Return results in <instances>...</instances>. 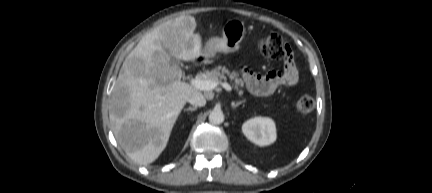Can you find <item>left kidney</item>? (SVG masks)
Here are the masks:
<instances>
[{"label": "left kidney", "mask_w": 432, "mask_h": 193, "mask_svg": "<svg viewBox=\"0 0 432 193\" xmlns=\"http://www.w3.org/2000/svg\"><path fill=\"white\" fill-rule=\"evenodd\" d=\"M242 131L248 140L259 145L267 146L276 140V126L268 117H255L242 125Z\"/></svg>", "instance_id": "5707ae66"}]
</instances>
